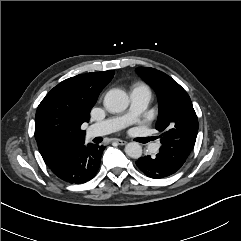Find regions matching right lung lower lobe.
<instances>
[{
  "mask_svg": "<svg viewBox=\"0 0 241 241\" xmlns=\"http://www.w3.org/2000/svg\"><path fill=\"white\" fill-rule=\"evenodd\" d=\"M104 146L76 142L60 149L45 160L49 169L61 180L81 184L97 173Z\"/></svg>",
  "mask_w": 241,
  "mask_h": 241,
  "instance_id": "1",
  "label": "right lung lower lobe"
}]
</instances>
